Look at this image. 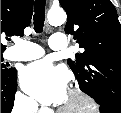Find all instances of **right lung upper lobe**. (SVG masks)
I'll return each mask as SVG.
<instances>
[{"label":"right lung upper lobe","mask_w":121,"mask_h":113,"mask_svg":"<svg viewBox=\"0 0 121 113\" xmlns=\"http://www.w3.org/2000/svg\"><path fill=\"white\" fill-rule=\"evenodd\" d=\"M33 0H1V34L23 36L31 22ZM6 46L1 43V52Z\"/></svg>","instance_id":"obj_1"}]
</instances>
